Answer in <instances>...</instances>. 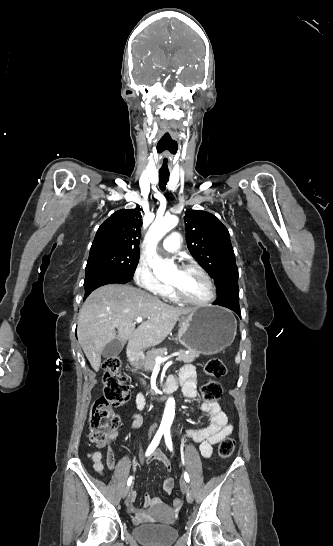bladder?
Segmentation results:
<instances>
[{
    "label": "bladder",
    "mask_w": 333,
    "mask_h": 546,
    "mask_svg": "<svg viewBox=\"0 0 333 546\" xmlns=\"http://www.w3.org/2000/svg\"><path fill=\"white\" fill-rule=\"evenodd\" d=\"M132 534L146 546H169L177 539L178 530L173 526L145 523L136 525Z\"/></svg>",
    "instance_id": "bladder-1"
}]
</instances>
